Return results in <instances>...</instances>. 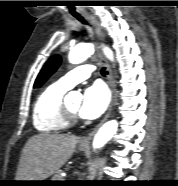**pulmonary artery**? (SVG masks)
Masks as SVG:
<instances>
[{
	"label": "pulmonary artery",
	"mask_w": 178,
	"mask_h": 186,
	"mask_svg": "<svg viewBox=\"0 0 178 186\" xmlns=\"http://www.w3.org/2000/svg\"><path fill=\"white\" fill-rule=\"evenodd\" d=\"M95 70V67L90 64H83L66 75L62 76L58 83L62 85L63 87L70 89L77 83L83 81L84 79H87Z\"/></svg>",
	"instance_id": "e3ab8cb5"
}]
</instances>
